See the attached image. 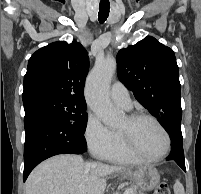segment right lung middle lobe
<instances>
[{
	"mask_svg": "<svg viewBox=\"0 0 201 194\" xmlns=\"http://www.w3.org/2000/svg\"><path fill=\"white\" fill-rule=\"evenodd\" d=\"M24 104V109L38 108L59 116L70 123L80 133L84 134L87 123L86 104L56 96H42Z\"/></svg>",
	"mask_w": 201,
	"mask_h": 194,
	"instance_id": "right-lung-middle-lobe-1",
	"label": "right lung middle lobe"
}]
</instances>
